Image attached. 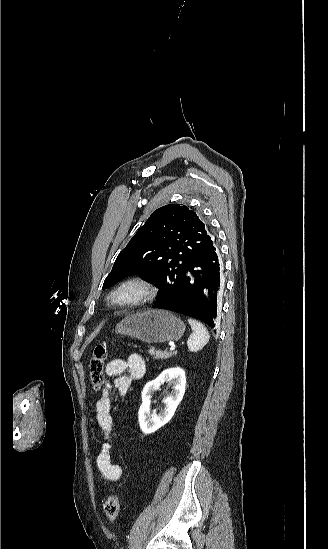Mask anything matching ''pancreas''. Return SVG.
<instances>
[{"instance_id": "pancreas-1", "label": "pancreas", "mask_w": 328, "mask_h": 549, "mask_svg": "<svg viewBox=\"0 0 328 549\" xmlns=\"http://www.w3.org/2000/svg\"><path fill=\"white\" fill-rule=\"evenodd\" d=\"M149 355H152L154 359H170V357H173V355H176L175 351H160V349H157V351H154V349H150L148 351Z\"/></svg>"}]
</instances>
